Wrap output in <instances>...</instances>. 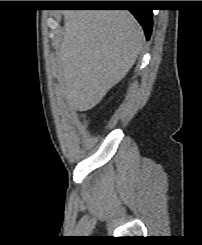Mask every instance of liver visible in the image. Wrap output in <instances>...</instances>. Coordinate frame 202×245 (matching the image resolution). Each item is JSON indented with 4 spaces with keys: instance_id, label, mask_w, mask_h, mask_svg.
<instances>
[{
    "instance_id": "liver-1",
    "label": "liver",
    "mask_w": 202,
    "mask_h": 245,
    "mask_svg": "<svg viewBox=\"0 0 202 245\" xmlns=\"http://www.w3.org/2000/svg\"><path fill=\"white\" fill-rule=\"evenodd\" d=\"M57 64L71 109L95 107L134 65L144 32L126 10L64 13Z\"/></svg>"
}]
</instances>
